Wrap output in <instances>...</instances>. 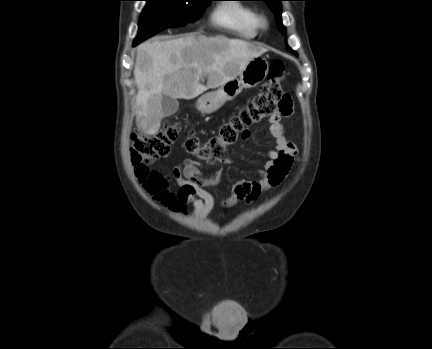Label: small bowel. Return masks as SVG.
Returning <instances> with one entry per match:
<instances>
[{"label": "small bowel", "instance_id": "small-bowel-1", "mask_svg": "<svg viewBox=\"0 0 432 349\" xmlns=\"http://www.w3.org/2000/svg\"><path fill=\"white\" fill-rule=\"evenodd\" d=\"M291 112L290 108L287 112H277L269 118V131L275 140V147L268 152L267 161L258 171V179L238 180L234 184L232 195L224 200L225 205L240 200H254L262 191L275 187L284 180L297 158V148L286 137L281 123L282 118ZM173 176L180 186V203L191 204L195 217L206 218L215 206V198L205 187L217 184L221 178L220 172L204 176L196 161L185 159L173 169Z\"/></svg>", "mask_w": 432, "mask_h": 349}]
</instances>
